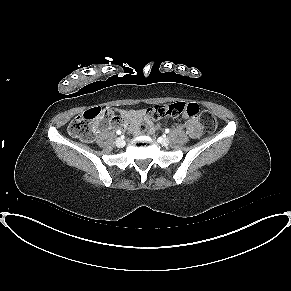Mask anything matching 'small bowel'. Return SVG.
I'll list each match as a JSON object with an SVG mask.
<instances>
[{
    "label": "small bowel",
    "instance_id": "1",
    "mask_svg": "<svg viewBox=\"0 0 291 291\" xmlns=\"http://www.w3.org/2000/svg\"><path fill=\"white\" fill-rule=\"evenodd\" d=\"M150 110L151 109H143V110H123L121 111L119 117L115 119H111L107 123V127L109 128H127L132 131L135 135H139L141 133L140 125L143 121L147 123V127L149 132H153L160 124L155 125L153 120L150 119ZM188 117L185 127L188 135L196 139L201 134L200 123L196 116H184Z\"/></svg>",
    "mask_w": 291,
    "mask_h": 291
}]
</instances>
